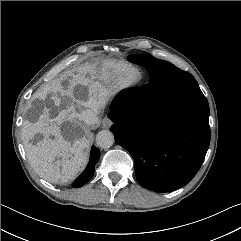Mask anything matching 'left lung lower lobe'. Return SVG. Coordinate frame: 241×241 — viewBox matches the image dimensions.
<instances>
[{"mask_svg": "<svg viewBox=\"0 0 241 241\" xmlns=\"http://www.w3.org/2000/svg\"><path fill=\"white\" fill-rule=\"evenodd\" d=\"M163 75L146 86L121 91L108 117L115 142L134 158L135 175L147 189L169 192L188 184L210 143L209 105L200 88L172 96Z\"/></svg>", "mask_w": 241, "mask_h": 241, "instance_id": "obj_1", "label": "left lung lower lobe"}]
</instances>
